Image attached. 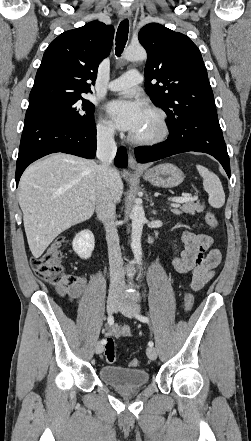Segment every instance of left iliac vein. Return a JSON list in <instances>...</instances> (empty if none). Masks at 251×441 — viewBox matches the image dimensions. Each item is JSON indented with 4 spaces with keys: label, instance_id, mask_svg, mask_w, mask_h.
<instances>
[{
    "label": "left iliac vein",
    "instance_id": "obj_1",
    "mask_svg": "<svg viewBox=\"0 0 251 441\" xmlns=\"http://www.w3.org/2000/svg\"><path fill=\"white\" fill-rule=\"evenodd\" d=\"M116 309L119 310L123 315H125L128 318H133L136 313L140 312L139 306L128 304L123 299L118 303ZM146 354L148 358L151 360H156L157 358V350L153 346L152 347L149 346L146 349Z\"/></svg>",
    "mask_w": 251,
    "mask_h": 441
}]
</instances>
